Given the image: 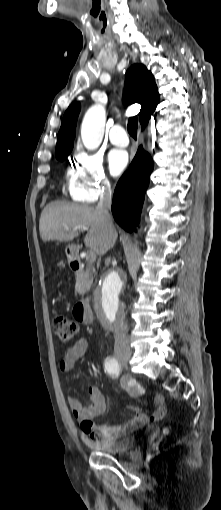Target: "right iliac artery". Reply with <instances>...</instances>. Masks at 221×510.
<instances>
[{
    "instance_id": "obj_1",
    "label": "right iliac artery",
    "mask_w": 221,
    "mask_h": 510,
    "mask_svg": "<svg viewBox=\"0 0 221 510\" xmlns=\"http://www.w3.org/2000/svg\"><path fill=\"white\" fill-rule=\"evenodd\" d=\"M105 370L110 375L118 376L121 372V365L115 358H107L105 361Z\"/></svg>"
}]
</instances>
